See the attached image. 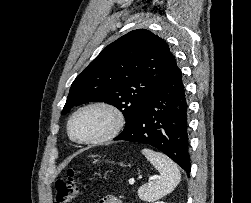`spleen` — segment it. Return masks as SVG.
I'll return each instance as SVG.
<instances>
[{
    "mask_svg": "<svg viewBox=\"0 0 251 203\" xmlns=\"http://www.w3.org/2000/svg\"><path fill=\"white\" fill-rule=\"evenodd\" d=\"M142 154L159 171L154 181L142 185L138 189V196L146 202H153L171 193L181 180L177 165L165 154L144 148Z\"/></svg>",
    "mask_w": 251,
    "mask_h": 203,
    "instance_id": "obj_1",
    "label": "spleen"
}]
</instances>
